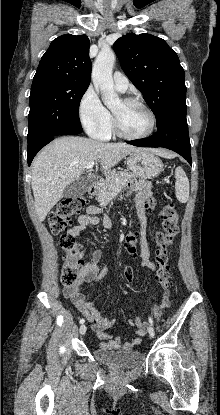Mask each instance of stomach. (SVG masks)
Instances as JSON below:
<instances>
[{
	"label": "stomach",
	"instance_id": "stomach-1",
	"mask_svg": "<svg viewBox=\"0 0 220 415\" xmlns=\"http://www.w3.org/2000/svg\"><path fill=\"white\" fill-rule=\"evenodd\" d=\"M128 168L143 179H153L163 170L162 161L147 150L133 152L126 158Z\"/></svg>",
	"mask_w": 220,
	"mask_h": 415
}]
</instances>
